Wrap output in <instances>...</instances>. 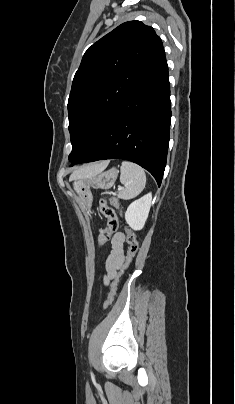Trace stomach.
Returning <instances> with one entry per match:
<instances>
[{
    "label": "stomach",
    "mask_w": 235,
    "mask_h": 404,
    "mask_svg": "<svg viewBox=\"0 0 235 404\" xmlns=\"http://www.w3.org/2000/svg\"><path fill=\"white\" fill-rule=\"evenodd\" d=\"M118 176L115 167L107 171H101L96 175L85 179H75L73 182L74 191L77 193L80 203L84 208H90L93 197L90 187L97 189H109L113 186Z\"/></svg>",
    "instance_id": "obj_1"
}]
</instances>
